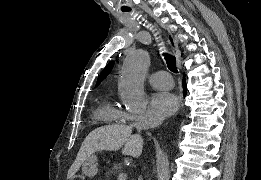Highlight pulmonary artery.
Returning a JSON list of instances; mask_svg holds the SVG:
<instances>
[{"label": "pulmonary artery", "mask_w": 261, "mask_h": 180, "mask_svg": "<svg viewBox=\"0 0 261 180\" xmlns=\"http://www.w3.org/2000/svg\"><path fill=\"white\" fill-rule=\"evenodd\" d=\"M148 81L154 86L167 88L172 84V77L166 71H157L148 76Z\"/></svg>", "instance_id": "e3ab8cb5"}]
</instances>
